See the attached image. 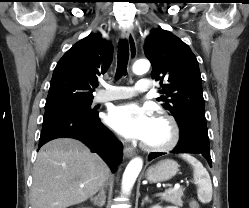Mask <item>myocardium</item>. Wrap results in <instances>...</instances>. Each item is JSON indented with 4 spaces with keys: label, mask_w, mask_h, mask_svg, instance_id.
I'll return each instance as SVG.
<instances>
[{
    "label": "myocardium",
    "mask_w": 249,
    "mask_h": 208,
    "mask_svg": "<svg viewBox=\"0 0 249 208\" xmlns=\"http://www.w3.org/2000/svg\"><path fill=\"white\" fill-rule=\"evenodd\" d=\"M155 119L164 122L170 131V136L168 140L162 144H151L145 143L143 148L148 151L162 152L172 149L179 141L180 138V128L174 117L166 113H157Z\"/></svg>",
    "instance_id": "myocardium-1"
}]
</instances>
